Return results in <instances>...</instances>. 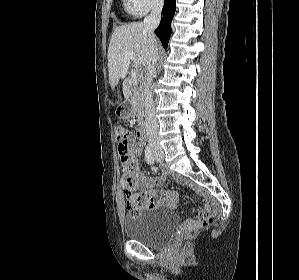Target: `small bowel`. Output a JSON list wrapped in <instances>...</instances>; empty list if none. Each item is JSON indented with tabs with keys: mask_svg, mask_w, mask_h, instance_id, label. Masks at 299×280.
I'll return each mask as SVG.
<instances>
[{
	"mask_svg": "<svg viewBox=\"0 0 299 280\" xmlns=\"http://www.w3.org/2000/svg\"><path fill=\"white\" fill-rule=\"evenodd\" d=\"M142 151L140 144H136L131 140L129 149V168L124 170L120 178V186L124 190H136L139 191L135 195V200L139 204L140 208L152 209L160 206H166L170 209H174L177 205L178 193L176 191H159L158 186H161L165 180L166 175L162 174L157 177H147L144 175L138 165L137 155ZM183 182L182 179H179ZM217 211V206L208 202V205L203 209L202 214L196 219H188L184 222V226L187 228L197 227L202 225L206 219L214 215Z\"/></svg>",
	"mask_w": 299,
	"mask_h": 280,
	"instance_id": "c3829d8e",
	"label": "small bowel"
}]
</instances>
